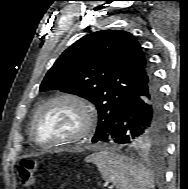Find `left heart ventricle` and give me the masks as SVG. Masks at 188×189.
<instances>
[{
  "mask_svg": "<svg viewBox=\"0 0 188 189\" xmlns=\"http://www.w3.org/2000/svg\"><path fill=\"white\" fill-rule=\"evenodd\" d=\"M82 115L70 103H57L47 107L36 124V136L42 142H52L73 136L81 127Z\"/></svg>",
  "mask_w": 188,
  "mask_h": 189,
  "instance_id": "1",
  "label": "left heart ventricle"
}]
</instances>
